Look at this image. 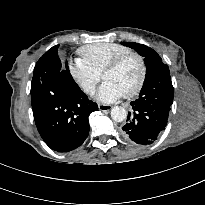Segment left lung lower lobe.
<instances>
[{
	"instance_id": "obj_1",
	"label": "left lung lower lobe",
	"mask_w": 205,
	"mask_h": 205,
	"mask_svg": "<svg viewBox=\"0 0 205 205\" xmlns=\"http://www.w3.org/2000/svg\"><path fill=\"white\" fill-rule=\"evenodd\" d=\"M132 113L121 134L128 142L139 145L152 144L167 125L170 106L155 105L139 100L131 102Z\"/></svg>"
}]
</instances>
